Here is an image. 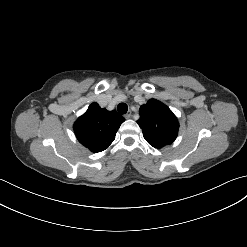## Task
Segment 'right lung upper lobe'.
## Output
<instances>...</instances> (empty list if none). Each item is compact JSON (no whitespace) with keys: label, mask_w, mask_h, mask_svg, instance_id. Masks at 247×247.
I'll return each mask as SVG.
<instances>
[{"label":"right lung upper lobe","mask_w":247,"mask_h":247,"mask_svg":"<svg viewBox=\"0 0 247 247\" xmlns=\"http://www.w3.org/2000/svg\"><path fill=\"white\" fill-rule=\"evenodd\" d=\"M124 118L115 110L108 111L92 103L74 124L78 141L94 153L107 149L114 140Z\"/></svg>","instance_id":"right-lung-upper-lobe-1"}]
</instances>
